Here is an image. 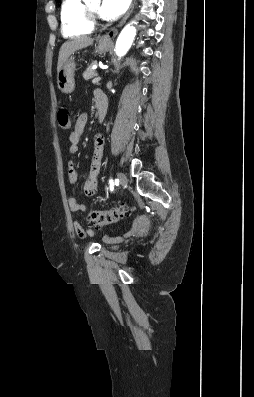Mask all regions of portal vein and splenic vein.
<instances>
[{
    "mask_svg": "<svg viewBox=\"0 0 254 397\" xmlns=\"http://www.w3.org/2000/svg\"><path fill=\"white\" fill-rule=\"evenodd\" d=\"M100 80H101V78H100L99 76H97V77H95V78L92 80V83L97 84V83H99Z\"/></svg>",
    "mask_w": 254,
    "mask_h": 397,
    "instance_id": "obj_1",
    "label": "portal vein and splenic vein"
}]
</instances>
